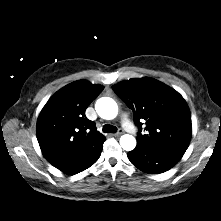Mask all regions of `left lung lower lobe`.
<instances>
[{
	"instance_id": "1",
	"label": "left lung lower lobe",
	"mask_w": 221,
	"mask_h": 221,
	"mask_svg": "<svg viewBox=\"0 0 221 221\" xmlns=\"http://www.w3.org/2000/svg\"><path fill=\"white\" fill-rule=\"evenodd\" d=\"M184 155L174 150L138 147L127 156L131 163L146 173L159 174L171 169Z\"/></svg>"
}]
</instances>
